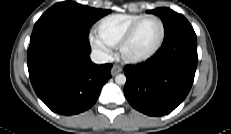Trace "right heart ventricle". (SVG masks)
<instances>
[{"label":"right heart ventricle","mask_w":231,"mask_h":134,"mask_svg":"<svg viewBox=\"0 0 231 134\" xmlns=\"http://www.w3.org/2000/svg\"><path fill=\"white\" fill-rule=\"evenodd\" d=\"M144 14L119 13L102 18L97 26L98 36L109 46H118L127 30Z\"/></svg>","instance_id":"right-heart-ventricle-1"}]
</instances>
